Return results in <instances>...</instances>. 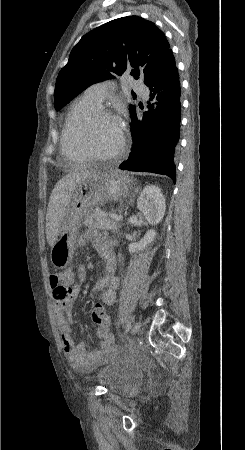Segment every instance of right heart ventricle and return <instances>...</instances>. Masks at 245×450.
Returning <instances> with one entry per match:
<instances>
[{
  "label": "right heart ventricle",
  "instance_id": "e07e8e85",
  "mask_svg": "<svg viewBox=\"0 0 245 450\" xmlns=\"http://www.w3.org/2000/svg\"><path fill=\"white\" fill-rule=\"evenodd\" d=\"M101 105L90 100L85 94L73 101L67 114L61 135V151L71 160L87 161L88 155L80 146L78 141L79 127L82 126L86 118Z\"/></svg>",
  "mask_w": 245,
  "mask_h": 450
}]
</instances>
